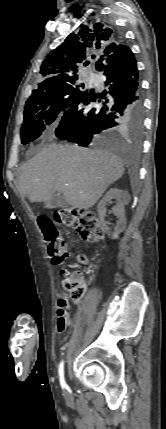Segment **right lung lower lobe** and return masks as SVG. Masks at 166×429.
<instances>
[{
	"mask_svg": "<svg viewBox=\"0 0 166 429\" xmlns=\"http://www.w3.org/2000/svg\"><path fill=\"white\" fill-rule=\"evenodd\" d=\"M96 70L103 72L106 89L102 93L91 89L78 95L55 130L59 139L87 146L99 143L108 131L128 129L133 135L141 133L143 105L132 51L124 45L112 54H104L96 62ZM95 101L100 105L93 107L91 102Z\"/></svg>",
	"mask_w": 166,
	"mask_h": 429,
	"instance_id": "right-lung-lower-lobe-1",
	"label": "right lung lower lobe"
}]
</instances>
